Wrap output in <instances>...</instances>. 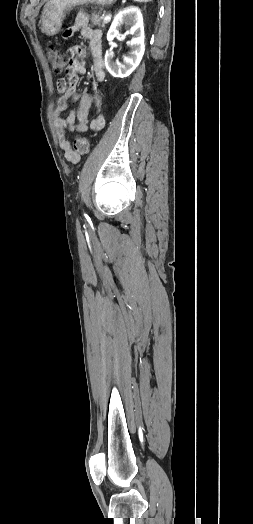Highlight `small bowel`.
<instances>
[{
    "mask_svg": "<svg viewBox=\"0 0 253 524\" xmlns=\"http://www.w3.org/2000/svg\"><path fill=\"white\" fill-rule=\"evenodd\" d=\"M74 27L79 30L82 37L88 40L92 59L93 76L98 82H103L105 79V70L102 55L101 31L88 26L87 17L84 15L76 19ZM62 36L69 42L73 39L74 32L71 29H66L62 33ZM75 52L80 58H85L87 55L86 51L81 47L77 48ZM68 62L70 64L63 68L67 79L60 78L58 81L60 97L58 99L57 108L54 112V121L59 145L64 151L67 159L71 150L70 142L66 136L67 131L77 130L83 132L89 128L93 131H100L104 127V119L101 116H96L90 121L88 120V114L91 107H94L96 111L101 110V98L97 95H90L86 92L79 93L75 89L78 75L87 72L84 62L79 59H74L73 57H70ZM70 102L78 103V108L76 111H71L66 117H63V115L69 110Z\"/></svg>",
    "mask_w": 253,
    "mask_h": 524,
    "instance_id": "1",
    "label": "small bowel"
}]
</instances>
